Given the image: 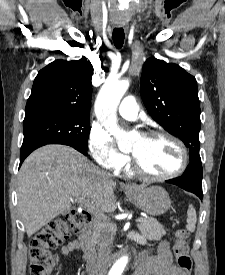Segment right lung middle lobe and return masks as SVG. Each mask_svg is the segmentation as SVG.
I'll return each mask as SVG.
<instances>
[{
  "label": "right lung middle lobe",
  "instance_id": "1",
  "mask_svg": "<svg viewBox=\"0 0 225 275\" xmlns=\"http://www.w3.org/2000/svg\"><path fill=\"white\" fill-rule=\"evenodd\" d=\"M89 114L40 113L26 116L23 143L60 142L88 151Z\"/></svg>",
  "mask_w": 225,
  "mask_h": 275
}]
</instances>
